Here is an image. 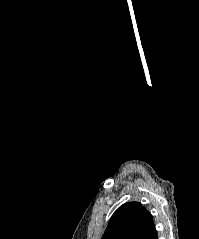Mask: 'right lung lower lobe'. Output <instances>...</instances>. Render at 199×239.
Wrapping results in <instances>:
<instances>
[{
    "label": "right lung lower lobe",
    "instance_id": "obj_1",
    "mask_svg": "<svg viewBox=\"0 0 199 239\" xmlns=\"http://www.w3.org/2000/svg\"><path fill=\"white\" fill-rule=\"evenodd\" d=\"M143 239H157V231L153 228Z\"/></svg>",
    "mask_w": 199,
    "mask_h": 239
}]
</instances>
